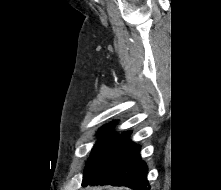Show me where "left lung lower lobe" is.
Listing matches in <instances>:
<instances>
[{
    "label": "left lung lower lobe",
    "mask_w": 221,
    "mask_h": 190,
    "mask_svg": "<svg viewBox=\"0 0 221 190\" xmlns=\"http://www.w3.org/2000/svg\"><path fill=\"white\" fill-rule=\"evenodd\" d=\"M130 134V131L123 132L112 141L92 171L83 177L82 186L95 183L150 190L147 165L140 158V146L129 140Z\"/></svg>",
    "instance_id": "obj_1"
}]
</instances>
